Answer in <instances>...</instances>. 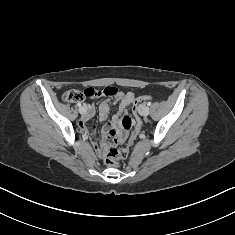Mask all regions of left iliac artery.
Wrapping results in <instances>:
<instances>
[{
	"instance_id": "left-iliac-artery-1",
	"label": "left iliac artery",
	"mask_w": 235,
	"mask_h": 235,
	"mask_svg": "<svg viewBox=\"0 0 235 235\" xmlns=\"http://www.w3.org/2000/svg\"><path fill=\"white\" fill-rule=\"evenodd\" d=\"M147 105L150 106V105H151V102H148Z\"/></svg>"
}]
</instances>
